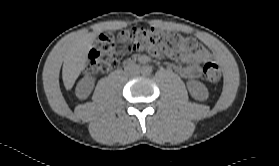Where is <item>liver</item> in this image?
Wrapping results in <instances>:
<instances>
[{
  "label": "liver",
  "mask_w": 279,
  "mask_h": 166,
  "mask_svg": "<svg viewBox=\"0 0 279 166\" xmlns=\"http://www.w3.org/2000/svg\"><path fill=\"white\" fill-rule=\"evenodd\" d=\"M96 36V33H88L78 37L66 51L62 68V78L67 90L73 87L76 79L84 69L88 52L92 48Z\"/></svg>",
  "instance_id": "1"
}]
</instances>
